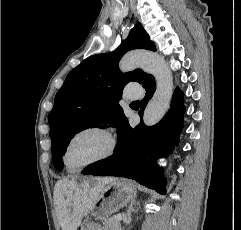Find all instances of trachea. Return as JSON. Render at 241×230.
I'll use <instances>...</instances> for the list:
<instances>
[{"instance_id":"1","label":"trachea","mask_w":241,"mask_h":230,"mask_svg":"<svg viewBox=\"0 0 241 230\" xmlns=\"http://www.w3.org/2000/svg\"><path fill=\"white\" fill-rule=\"evenodd\" d=\"M133 103H135V104H140V102H138V101H135V102H133Z\"/></svg>"}]
</instances>
